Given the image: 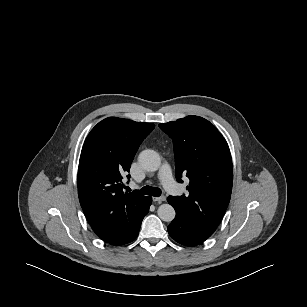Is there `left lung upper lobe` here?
Segmentation results:
<instances>
[{
  "label": "left lung upper lobe",
  "instance_id": "obj_1",
  "mask_svg": "<svg viewBox=\"0 0 307 307\" xmlns=\"http://www.w3.org/2000/svg\"><path fill=\"white\" fill-rule=\"evenodd\" d=\"M173 141L175 175L182 182L186 175L189 195L169 196L178 209L196 226L213 233L229 204L233 170L228 144L206 119L187 116L159 124Z\"/></svg>",
  "mask_w": 307,
  "mask_h": 307
}]
</instances>
